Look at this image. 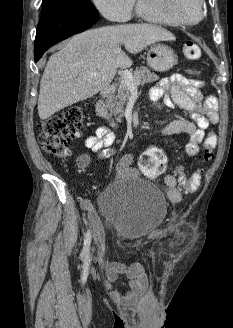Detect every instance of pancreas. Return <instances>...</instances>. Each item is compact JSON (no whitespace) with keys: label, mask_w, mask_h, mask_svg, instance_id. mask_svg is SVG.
Here are the masks:
<instances>
[{"label":"pancreas","mask_w":233,"mask_h":328,"mask_svg":"<svg viewBox=\"0 0 233 328\" xmlns=\"http://www.w3.org/2000/svg\"><path fill=\"white\" fill-rule=\"evenodd\" d=\"M135 82H139L141 85L145 83H151L159 80V76L152 73L147 67H137L135 71L131 73ZM130 98V89L126 82L121 78L117 84V94L110 95L107 98V109L110 111V115L114 116L117 122L122 121L124 114V108Z\"/></svg>","instance_id":"1"}]
</instances>
